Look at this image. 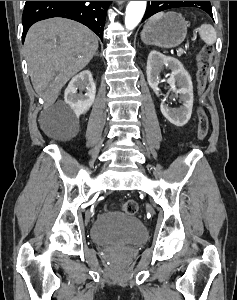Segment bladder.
Masks as SVG:
<instances>
[{
  "label": "bladder",
  "mask_w": 237,
  "mask_h": 300,
  "mask_svg": "<svg viewBox=\"0 0 237 300\" xmlns=\"http://www.w3.org/2000/svg\"><path fill=\"white\" fill-rule=\"evenodd\" d=\"M97 245L139 244L146 239L147 231L141 220L118 211L97 216L90 230Z\"/></svg>",
  "instance_id": "obj_1"
}]
</instances>
